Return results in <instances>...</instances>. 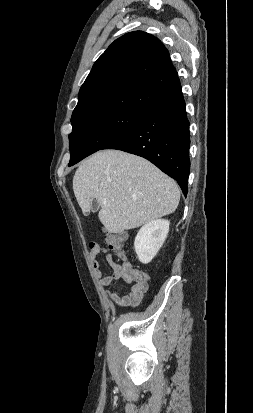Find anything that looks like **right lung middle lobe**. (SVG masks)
<instances>
[{"label": "right lung middle lobe", "mask_w": 253, "mask_h": 413, "mask_svg": "<svg viewBox=\"0 0 253 413\" xmlns=\"http://www.w3.org/2000/svg\"><path fill=\"white\" fill-rule=\"evenodd\" d=\"M146 114L130 110H111L72 122L69 134V166L104 149L135 129Z\"/></svg>", "instance_id": "dd1d6c3e"}]
</instances>
